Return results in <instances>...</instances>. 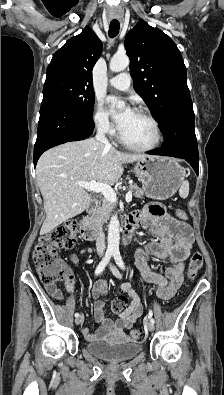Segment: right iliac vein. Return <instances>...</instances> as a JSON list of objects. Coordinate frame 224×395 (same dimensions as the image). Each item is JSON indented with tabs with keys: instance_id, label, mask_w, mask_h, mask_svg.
Listing matches in <instances>:
<instances>
[{
	"instance_id": "obj_1",
	"label": "right iliac vein",
	"mask_w": 224,
	"mask_h": 395,
	"mask_svg": "<svg viewBox=\"0 0 224 395\" xmlns=\"http://www.w3.org/2000/svg\"><path fill=\"white\" fill-rule=\"evenodd\" d=\"M84 320V316L83 315H79L76 319H75V323L76 325H79L83 322Z\"/></svg>"
}]
</instances>
